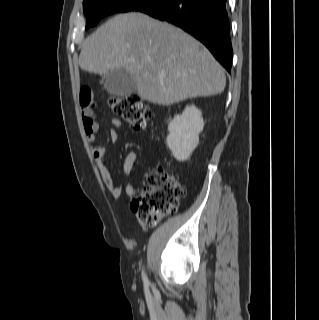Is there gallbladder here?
I'll return each mask as SVG.
<instances>
[{
  "label": "gallbladder",
  "instance_id": "1",
  "mask_svg": "<svg viewBox=\"0 0 319 320\" xmlns=\"http://www.w3.org/2000/svg\"><path fill=\"white\" fill-rule=\"evenodd\" d=\"M103 85L109 94L116 96H128L137 90L135 80L124 69L113 70L104 75Z\"/></svg>",
  "mask_w": 319,
  "mask_h": 320
}]
</instances>
